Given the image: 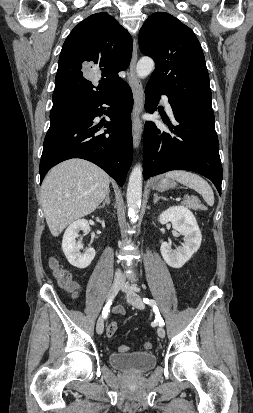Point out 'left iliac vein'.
Masks as SVG:
<instances>
[{"mask_svg":"<svg viewBox=\"0 0 253 413\" xmlns=\"http://www.w3.org/2000/svg\"><path fill=\"white\" fill-rule=\"evenodd\" d=\"M121 289L126 294L129 303H131L135 308L140 310L145 308L141 298L132 290V287L127 282L122 283ZM157 334L160 338L165 337V330L162 326L157 328Z\"/></svg>","mask_w":253,"mask_h":413,"instance_id":"left-iliac-vein-1","label":"left iliac vein"}]
</instances>
